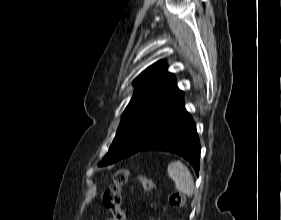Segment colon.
<instances>
[{
	"mask_svg": "<svg viewBox=\"0 0 281 220\" xmlns=\"http://www.w3.org/2000/svg\"><path fill=\"white\" fill-rule=\"evenodd\" d=\"M129 169H120L114 173L112 184L106 189L103 195V204L109 210L111 217L109 220H125V213L122 210V189L126 185ZM143 187L148 192L155 191L153 181L146 175H140ZM169 202L173 206H183L185 197L180 193L172 194L169 197Z\"/></svg>",
	"mask_w": 281,
	"mask_h": 220,
	"instance_id": "colon-1",
	"label": "colon"
}]
</instances>
